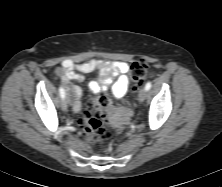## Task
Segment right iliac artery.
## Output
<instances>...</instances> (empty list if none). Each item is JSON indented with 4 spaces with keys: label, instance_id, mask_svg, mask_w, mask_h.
I'll return each mask as SVG.
<instances>
[{
    "label": "right iliac artery",
    "instance_id": "obj_1",
    "mask_svg": "<svg viewBox=\"0 0 222 187\" xmlns=\"http://www.w3.org/2000/svg\"><path fill=\"white\" fill-rule=\"evenodd\" d=\"M59 93L62 99L65 98V90L63 89V87H59Z\"/></svg>",
    "mask_w": 222,
    "mask_h": 187
}]
</instances>
